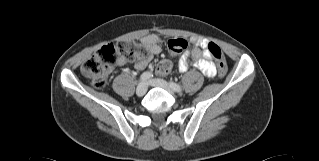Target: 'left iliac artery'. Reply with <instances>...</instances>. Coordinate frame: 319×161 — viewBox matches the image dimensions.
Segmentation results:
<instances>
[{"label": "left iliac artery", "instance_id": "left-iliac-artery-1", "mask_svg": "<svg viewBox=\"0 0 319 161\" xmlns=\"http://www.w3.org/2000/svg\"><path fill=\"white\" fill-rule=\"evenodd\" d=\"M170 86L176 92H180L182 90L181 86L177 83L170 82Z\"/></svg>", "mask_w": 319, "mask_h": 161}]
</instances>
